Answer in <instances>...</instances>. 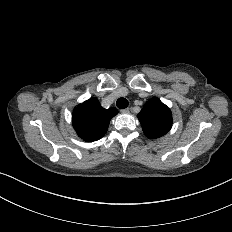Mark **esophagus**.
<instances>
[{
    "instance_id": "obj_1",
    "label": "esophagus",
    "mask_w": 232,
    "mask_h": 232,
    "mask_svg": "<svg viewBox=\"0 0 232 232\" xmlns=\"http://www.w3.org/2000/svg\"><path fill=\"white\" fill-rule=\"evenodd\" d=\"M130 111H129V109L128 108H126V109H121V113H123V114H128Z\"/></svg>"
}]
</instances>
